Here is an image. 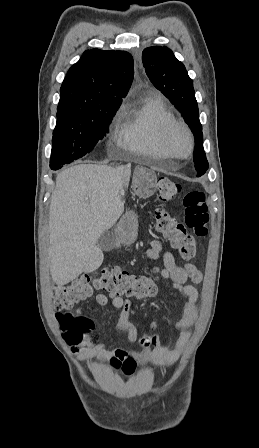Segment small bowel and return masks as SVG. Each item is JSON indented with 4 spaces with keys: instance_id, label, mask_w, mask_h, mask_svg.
I'll return each instance as SVG.
<instances>
[{
    "instance_id": "small-bowel-1",
    "label": "small bowel",
    "mask_w": 259,
    "mask_h": 448,
    "mask_svg": "<svg viewBox=\"0 0 259 448\" xmlns=\"http://www.w3.org/2000/svg\"><path fill=\"white\" fill-rule=\"evenodd\" d=\"M148 256L151 260L162 258L163 267L159 272V276L162 279L171 280L173 288L179 291L185 298L182 312L176 322V327L180 330V334L175 344L171 348L163 347L161 339L155 335L156 341L152 348L132 350L102 343L98 340L96 334L90 333L80 344L71 345V352L82 363L93 366V359L96 358L98 361L108 364L111 369L121 371L124 375L130 376L135 372L138 364L169 367L181 356L184 346L190 337L191 327L198 315V292L188 282L200 283L202 281V274L193 264L189 263L184 266L177 265L173 254L163 251L162 244L158 240L152 242ZM153 274L157 277L155 272ZM95 299L100 306L111 303L113 308L120 310L116 327L119 331L127 334L129 343L136 342L138 339L137 328L129 320L132 306L131 301L112 293L109 295L99 293ZM156 327L157 323L152 322L151 329H155ZM99 378L102 379V376L99 375Z\"/></svg>"
}]
</instances>
